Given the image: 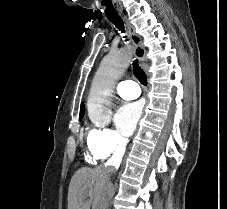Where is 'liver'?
<instances>
[{"label":"liver","instance_id":"liver-1","mask_svg":"<svg viewBox=\"0 0 227 209\" xmlns=\"http://www.w3.org/2000/svg\"><path fill=\"white\" fill-rule=\"evenodd\" d=\"M100 169H88L82 167L73 175L68 189V209H90V203H84L85 197H90L91 193L85 195L87 189H91L94 181L99 179Z\"/></svg>","mask_w":227,"mask_h":209}]
</instances>
